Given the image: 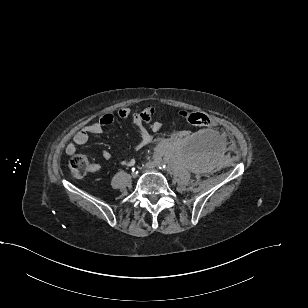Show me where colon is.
Instances as JSON below:
<instances>
[{
    "mask_svg": "<svg viewBox=\"0 0 308 308\" xmlns=\"http://www.w3.org/2000/svg\"><path fill=\"white\" fill-rule=\"evenodd\" d=\"M180 115L193 127L204 128L210 125V118L202 112H180ZM69 167L72 173L83 176L90 167L89 158L86 154H76L70 158Z\"/></svg>",
    "mask_w": 308,
    "mask_h": 308,
    "instance_id": "obj_1",
    "label": "colon"
}]
</instances>
